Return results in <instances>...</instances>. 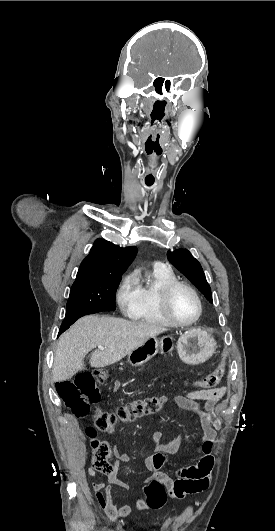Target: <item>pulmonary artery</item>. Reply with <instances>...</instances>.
I'll use <instances>...</instances> for the list:
<instances>
[{"label": "pulmonary artery", "mask_w": 275, "mask_h": 531, "mask_svg": "<svg viewBox=\"0 0 275 531\" xmlns=\"http://www.w3.org/2000/svg\"><path fill=\"white\" fill-rule=\"evenodd\" d=\"M154 269L156 272H165L168 269V264L165 261H156Z\"/></svg>", "instance_id": "1"}]
</instances>
